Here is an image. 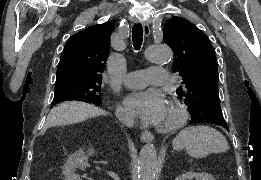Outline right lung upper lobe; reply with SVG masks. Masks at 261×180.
I'll return each instance as SVG.
<instances>
[{"label": "right lung upper lobe", "mask_w": 261, "mask_h": 180, "mask_svg": "<svg viewBox=\"0 0 261 180\" xmlns=\"http://www.w3.org/2000/svg\"><path fill=\"white\" fill-rule=\"evenodd\" d=\"M113 30L114 25L105 22L74 34L61 54L56 84L67 81L102 82Z\"/></svg>", "instance_id": "obj_1"}]
</instances>
